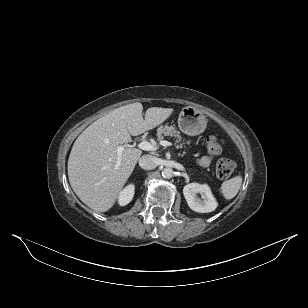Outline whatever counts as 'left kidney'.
Wrapping results in <instances>:
<instances>
[{"instance_id":"left-kidney-1","label":"left kidney","mask_w":308,"mask_h":308,"mask_svg":"<svg viewBox=\"0 0 308 308\" xmlns=\"http://www.w3.org/2000/svg\"><path fill=\"white\" fill-rule=\"evenodd\" d=\"M198 193L202 199L197 197ZM183 194L188 206L195 212L208 213L217 208V201L207 184L190 183L183 188Z\"/></svg>"}]
</instances>
